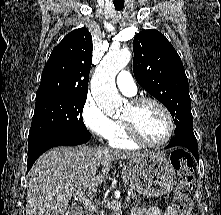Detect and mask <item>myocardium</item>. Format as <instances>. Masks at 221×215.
I'll return each instance as SVG.
<instances>
[{
	"mask_svg": "<svg viewBox=\"0 0 221 215\" xmlns=\"http://www.w3.org/2000/svg\"><path fill=\"white\" fill-rule=\"evenodd\" d=\"M145 102H151L154 103L155 105H157L162 112L164 113L166 119H167V123H168V129H167V133L165 135V137L158 143H150L148 141H146L138 132L135 123L132 119H121V122L124 125L125 131L128 135V137L135 142L136 144L143 146V147H147V148H160L162 146H164L165 144H167L169 142V140L171 139V137L173 136L174 130H175V124H174V119L173 116L170 112V110L167 108V106L160 101L159 99L152 97V96H138L133 98L130 101V105L133 108H136L137 106L141 105L142 103Z\"/></svg>",
	"mask_w": 221,
	"mask_h": 215,
	"instance_id": "1",
	"label": "myocardium"
}]
</instances>
